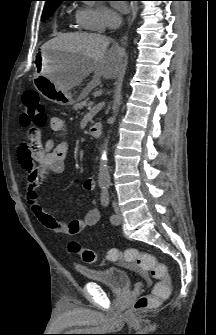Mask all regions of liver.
Returning <instances> with one entry per match:
<instances>
[{"instance_id": "obj_1", "label": "liver", "mask_w": 216, "mask_h": 335, "mask_svg": "<svg viewBox=\"0 0 216 335\" xmlns=\"http://www.w3.org/2000/svg\"><path fill=\"white\" fill-rule=\"evenodd\" d=\"M110 41L101 34L66 33L49 40L41 49L57 50L72 55V61L64 72L52 77L61 89L70 90L80 85L92 72L93 83H98L101 77H117L123 67L125 50L119 45L108 49Z\"/></svg>"}]
</instances>
